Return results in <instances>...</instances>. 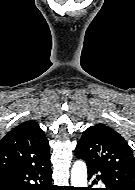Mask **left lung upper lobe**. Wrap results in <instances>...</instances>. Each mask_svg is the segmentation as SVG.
Wrapping results in <instances>:
<instances>
[{"label":"left lung upper lobe","mask_w":135,"mask_h":190,"mask_svg":"<svg viewBox=\"0 0 135 190\" xmlns=\"http://www.w3.org/2000/svg\"><path fill=\"white\" fill-rule=\"evenodd\" d=\"M75 155L107 175L123 190H135V158L125 139L113 128L96 124L86 129Z\"/></svg>","instance_id":"1"}]
</instances>
